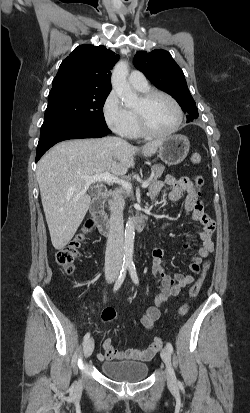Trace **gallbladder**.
Returning <instances> with one entry per match:
<instances>
[{"label":"gallbladder","instance_id":"bac80fb5","mask_svg":"<svg viewBox=\"0 0 250 413\" xmlns=\"http://www.w3.org/2000/svg\"><path fill=\"white\" fill-rule=\"evenodd\" d=\"M91 192H92V194H95V193H96V189H92Z\"/></svg>","mask_w":250,"mask_h":413}]
</instances>
